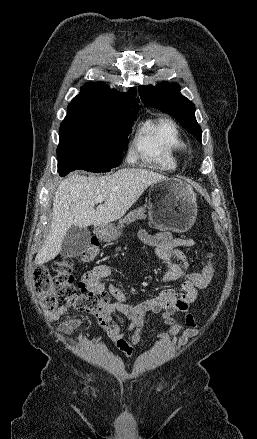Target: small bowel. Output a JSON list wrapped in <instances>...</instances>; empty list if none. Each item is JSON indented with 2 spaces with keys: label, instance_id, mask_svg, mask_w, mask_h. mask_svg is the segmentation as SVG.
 <instances>
[{
  "label": "small bowel",
  "instance_id": "small-bowel-1",
  "mask_svg": "<svg viewBox=\"0 0 257 439\" xmlns=\"http://www.w3.org/2000/svg\"><path fill=\"white\" fill-rule=\"evenodd\" d=\"M139 238L146 245L154 247L156 255L165 263L166 272L163 282L182 281V292L177 293L167 288L153 298L130 305L126 295L115 284L109 286V291L116 301L108 304L102 312L95 313L94 316L118 352L126 358H130L142 346L143 326L146 320L154 314L161 313L160 320L167 327V331L156 334L157 343L161 349L168 346L171 337L179 335L178 344L184 346L196 334L195 322L188 314V309L195 301L199 288L186 279L189 262L185 252L181 249L193 247L195 241L190 238L175 237L170 232L151 233L146 230L139 232ZM110 274L111 270L107 265H98L83 275L79 285L93 292L104 291L103 280ZM67 311L68 307L61 306L50 315L49 320H58ZM177 312L186 314L185 326L174 319L173 316ZM116 314H121L128 320L126 329H123L115 320ZM80 324V319L71 318L61 323L60 330L66 335H71ZM71 342L75 343L74 340Z\"/></svg>",
  "mask_w": 257,
  "mask_h": 439
}]
</instances>
